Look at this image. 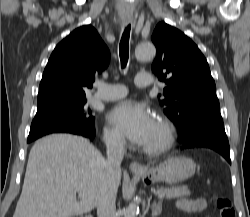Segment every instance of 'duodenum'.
Segmentation results:
<instances>
[{
  "mask_svg": "<svg viewBox=\"0 0 250 217\" xmlns=\"http://www.w3.org/2000/svg\"><path fill=\"white\" fill-rule=\"evenodd\" d=\"M84 217H92V216H90V215H87V216H84Z\"/></svg>",
  "mask_w": 250,
  "mask_h": 217,
  "instance_id": "410a0bca",
  "label": "duodenum"
}]
</instances>
